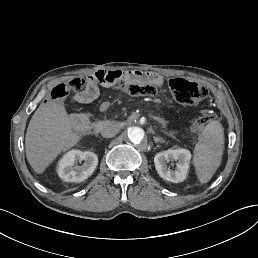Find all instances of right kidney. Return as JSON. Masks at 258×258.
<instances>
[{"label": "right kidney", "mask_w": 258, "mask_h": 258, "mask_svg": "<svg viewBox=\"0 0 258 258\" xmlns=\"http://www.w3.org/2000/svg\"><path fill=\"white\" fill-rule=\"evenodd\" d=\"M84 160L78 166V161ZM98 164V157L94 152L73 149L67 152L58 163L57 173L66 182H82L92 175Z\"/></svg>", "instance_id": "ca27d5eb"}]
</instances>
